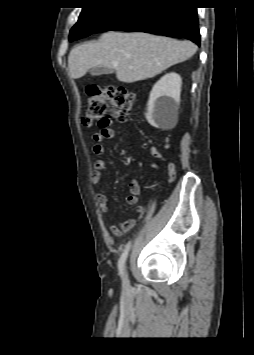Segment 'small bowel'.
I'll use <instances>...</instances> for the list:
<instances>
[{"instance_id":"c3829d8e","label":"small bowel","mask_w":254,"mask_h":355,"mask_svg":"<svg viewBox=\"0 0 254 355\" xmlns=\"http://www.w3.org/2000/svg\"><path fill=\"white\" fill-rule=\"evenodd\" d=\"M112 121L110 119H104L103 124L101 125V130L94 133L92 139L94 141L93 153L96 156V161L94 164V171L91 174V182L93 184H99L102 178V172H109V168L103 158L104 155V146L102 142L106 139H111L114 137V130L112 129ZM154 155L161 157V154L154 152ZM153 168L159 170V166L154 163ZM173 170L175 172V165L173 163L168 164V172ZM176 173V172H175ZM129 195L126 198V201L129 205H134L138 202V196L140 193V184L137 180H132L129 184ZM97 200L101 207V210L104 213L110 211L108 206V197L105 193L100 192L97 194ZM137 216H140L143 213V208L138 207L136 210ZM137 223V218H131L127 221L120 222L117 225H111L109 227L111 233L115 236H122L125 233L131 231Z\"/></svg>"}]
</instances>
